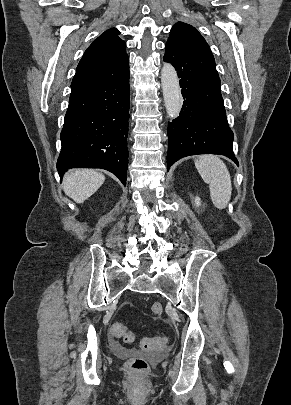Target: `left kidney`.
<instances>
[{
    "label": "left kidney",
    "instance_id": "obj_1",
    "mask_svg": "<svg viewBox=\"0 0 291 405\" xmlns=\"http://www.w3.org/2000/svg\"><path fill=\"white\" fill-rule=\"evenodd\" d=\"M195 204H196V206H200V205H201V200H200L199 197H196V198H195Z\"/></svg>",
    "mask_w": 291,
    "mask_h": 405
}]
</instances>
